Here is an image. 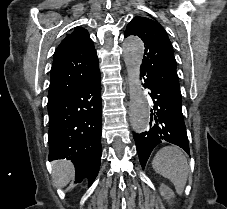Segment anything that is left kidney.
I'll return each mask as SVG.
<instances>
[{
	"instance_id": "obj_1",
	"label": "left kidney",
	"mask_w": 227,
	"mask_h": 209,
	"mask_svg": "<svg viewBox=\"0 0 227 209\" xmlns=\"http://www.w3.org/2000/svg\"><path fill=\"white\" fill-rule=\"evenodd\" d=\"M159 191L161 197H163V199H166L168 203H170L171 199H174V193L172 189H169V187H166V185H163V183L161 187H159Z\"/></svg>"
}]
</instances>
